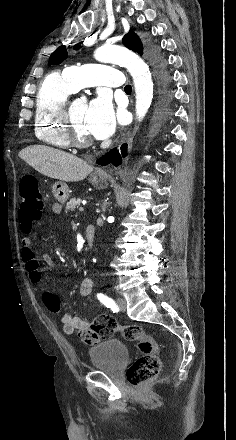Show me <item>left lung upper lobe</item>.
<instances>
[{
    "label": "left lung upper lobe",
    "instance_id": "1",
    "mask_svg": "<svg viewBox=\"0 0 236 440\" xmlns=\"http://www.w3.org/2000/svg\"><path fill=\"white\" fill-rule=\"evenodd\" d=\"M122 43L130 50L142 55L143 54V46L139 39V37L133 32L129 31L123 39ZM80 48L79 45L74 47L75 50ZM68 56L66 46H60L57 48L50 56L49 64H60L62 63Z\"/></svg>",
    "mask_w": 236,
    "mask_h": 440
}]
</instances>
